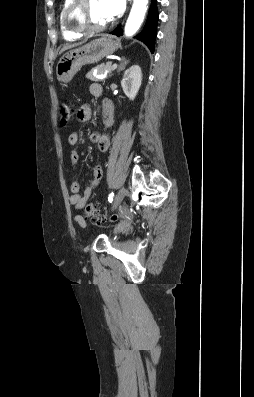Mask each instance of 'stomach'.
I'll use <instances>...</instances> for the list:
<instances>
[{"label":"stomach","mask_w":254,"mask_h":397,"mask_svg":"<svg viewBox=\"0 0 254 397\" xmlns=\"http://www.w3.org/2000/svg\"><path fill=\"white\" fill-rule=\"evenodd\" d=\"M119 44L112 37L103 35L79 48L66 52L56 66L57 79L67 83L87 64L99 62L118 49Z\"/></svg>","instance_id":"obj_1"}]
</instances>
